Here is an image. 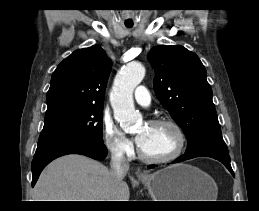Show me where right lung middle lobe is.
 I'll return each mask as SVG.
<instances>
[{
    "mask_svg": "<svg viewBox=\"0 0 259 211\" xmlns=\"http://www.w3.org/2000/svg\"><path fill=\"white\" fill-rule=\"evenodd\" d=\"M102 111L103 106H93L45 122L39 140L58 136H80L103 142Z\"/></svg>",
    "mask_w": 259,
    "mask_h": 211,
    "instance_id": "obj_1",
    "label": "right lung middle lobe"
}]
</instances>
